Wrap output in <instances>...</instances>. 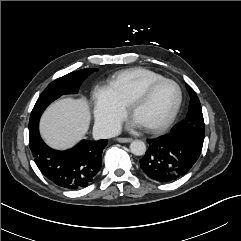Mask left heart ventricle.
<instances>
[{"instance_id": "b2bd125f", "label": "left heart ventricle", "mask_w": 241, "mask_h": 241, "mask_svg": "<svg viewBox=\"0 0 241 241\" xmlns=\"http://www.w3.org/2000/svg\"><path fill=\"white\" fill-rule=\"evenodd\" d=\"M177 100V88L171 83H164L136 109L133 117L143 126L160 125L170 117Z\"/></svg>"}]
</instances>
